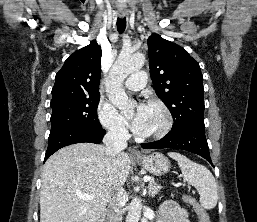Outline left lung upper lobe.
Masks as SVG:
<instances>
[{"label": "left lung upper lobe", "mask_w": 257, "mask_h": 222, "mask_svg": "<svg viewBox=\"0 0 257 222\" xmlns=\"http://www.w3.org/2000/svg\"><path fill=\"white\" fill-rule=\"evenodd\" d=\"M150 75L157 96L174 120L173 129L204 126V88L199 64L181 46L152 34L148 40Z\"/></svg>", "instance_id": "obj_1"}]
</instances>
